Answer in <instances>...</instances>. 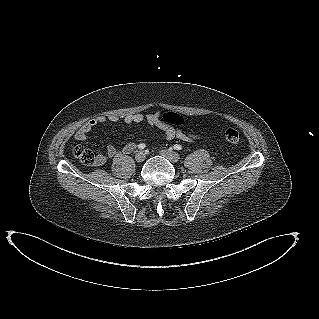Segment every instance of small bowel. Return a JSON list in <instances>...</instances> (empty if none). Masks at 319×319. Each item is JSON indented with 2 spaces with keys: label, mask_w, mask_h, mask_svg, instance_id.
Returning a JSON list of instances; mask_svg holds the SVG:
<instances>
[{
  "label": "small bowel",
  "mask_w": 319,
  "mask_h": 319,
  "mask_svg": "<svg viewBox=\"0 0 319 319\" xmlns=\"http://www.w3.org/2000/svg\"><path fill=\"white\" fill-rule=\"evenodd\" d=\"M161 117H162L161 112L149 113L147 115H142L137 113V114H130L125 116L124 122L127 125H132V124L142 123L146 121L149 125L155 126L161 129L164 132L165 138L167 140L179 139L181 141L190 143V142H194L201 139L199 135L193 134L188 130H184L182 128H175L164 123ZM106 120L116 123L120 120V117L113 114L108 117L98 116V117L92 118L91 120H89L87 123L82 125L77 130V132L75 133V139L77 141H85L87 139V136L90 134V132L96 126L104 123ZM134 149H135V143L128 142L122 148L121 153L127 155V154H130ZM117 154H118V150L113 145H109L107 146L104 153L97 155L95 160V165L102 166L109 159H112Z\"/></svg>",
  "instance_id": "small-bowel-1"
}]
</instances>
